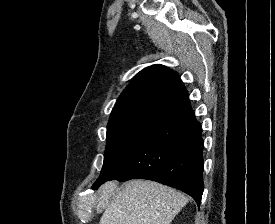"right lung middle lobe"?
Wrapping results in <instances>:
<instances>
[{
  "mask_svg": "<svg viewBox=\"0 0 275 224\" xmlns=\"http://www.w3.org/2000/svg\"><path fill=\"white\" fill-rule=\"evenodd\" d=\"M165 112L158 109H144L109 121L104 164L94 185L107 180L116 172Z\"/></svg>",
  "mask_w": 275,
  "mask_h": 224,
  "instance_id": "1",
  "label": "right lung middle lobe"
}]
</instances>
